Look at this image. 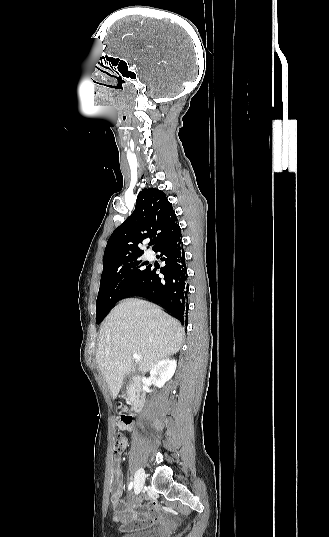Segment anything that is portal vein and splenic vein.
<instances>
[{
  "instance_id": "portal-vein-and-splenic-vein-1",
  "label": "portal vein and splenic vein",
  "mask_w": 329,
  "mask_h": 537,
  "mask_svg": "<svg viewBox=\"0 0 329 537\" xmlns=\"http://www.w3.org/2000/svg\"><path fill=\"white\" fill-rule=\"evenodd\" d=\"M132 357L137 361L141 359V356L139 354H133Z\"/></svg>"
}]
</instances>
